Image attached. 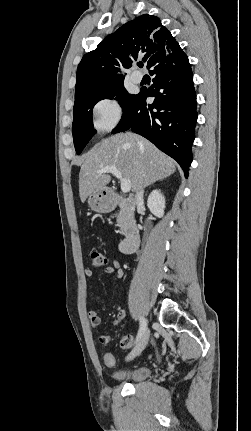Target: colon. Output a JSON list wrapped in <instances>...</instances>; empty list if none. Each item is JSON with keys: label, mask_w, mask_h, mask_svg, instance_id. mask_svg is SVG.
<instances>
[{"label": "colon", "mask_w": 251, "mask_h": 431, "mask_svg": "<svg viewBox=\"0 0 251 431\" xmlns=\"http://www.w3.org/2000/svg\"><path fill=\"white\" fill-rule=\"evenodd\" d=\"M88 255H89L90 262L94 267H102L107 264V258L104 256V254H102L100 251L96 249H91ZM131 344H132V337L124 336L121 339V346H120L121 351L123 352L128 351ZM116 359H117V356L111 350H108L103 355L102 362L103 364H105L106 369L113 370L116 368V363H117Z\"/></svg>", "instance_id": "colon-1"}]
</instances>
